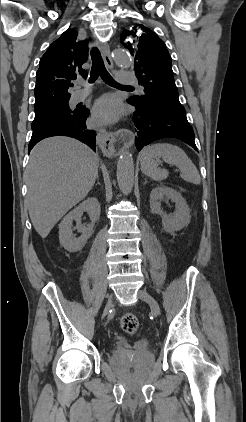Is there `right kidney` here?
<instances>
[{"instance_id":"1","label":"right kidney","mask_w":246,"mask_h":422,"mask_svg":"<svg viewBox=\"0 0 246 422\" xmlns=\"http://www.w3.org/2000/svg\"><path fill=\"white\" fill-rule=\"evenodd\" d=\"M83 212H87L90 216L91 224L88 227L80 223ZM100 212L99 201L91 197L83 201L63 218L59 225V240L64 249L69 252H77L83 248L88 238L92 235L94 224L99 220ZM74 220L77 222L76 229L81 232L79 238L73 237L72 222Z\"/></svg>"}]
</instances>
